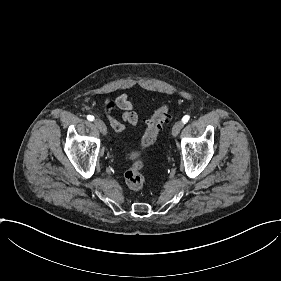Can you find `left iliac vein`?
Masks as SVG:
<instances>
[{
    "label": "left iliac vein",
    "mask_w": 281,
    "mask_h": 281,
    "mask_svg": "<svg viewBox=\"0 0 281 281\" xmlns=\"http://www.w3.org/2000/svg\"><path fill=\"white\" fill-rule=\"evenodd\" d=\"M184 127L183 122L178 121L174 124V126L171 129L172 134L177 135L181 131V129Z\"/></svg>",
    "instance_id": "4c4485c4"
}]
</instances>
